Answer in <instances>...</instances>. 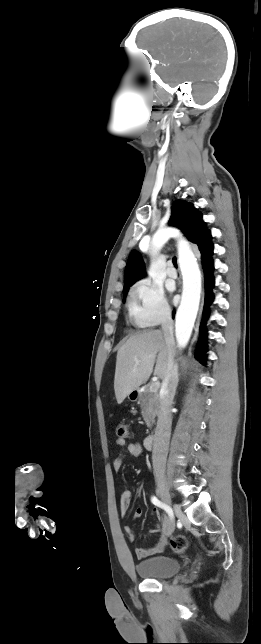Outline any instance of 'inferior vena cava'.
Wrapping results in <instances>:
<instances>
[{
  "label": "inferior vena cava",
  "mask_w": 261,
  "mask_h": 644,
  "mask_svg": "<svg viewBox=\"0 0 261 644\" xmlns=\"http://www.w3.org/2000/svg\"><path fill=\"white\" fill-rule=\"evenodd\" d=\"M162 330L170 353L160 392L158 421L153 441L152 462L155 474L165 472L172 425L171 407L178 384V365L174 360L173 320L169 311L163 315Z\"/></svg>",
  "instance_id": "obj_1"
}]
</instances>
